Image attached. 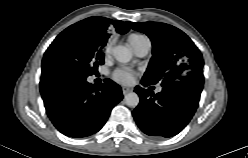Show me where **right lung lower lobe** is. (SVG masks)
I'll return each mask as SVG.
<instances>
[{"mask_svg": "<svg viewBox=\"0 0 248 158\" xmlns=\"http://www.w3.org/2000/svg\"><path fill=\"white\" fill-rule=\"evenodd\" d=\"M40 92L50 120L69 137L99 131L123 98L120 86L110 79L96 87L86 79L46 78L41 79Z\"/></svg>", "mask_w": 248, "mask_h": 158, "instance_id": "98d812e1", "label": "right lung lower lobe"}]
</instances>
